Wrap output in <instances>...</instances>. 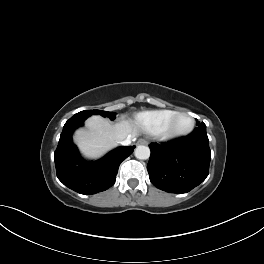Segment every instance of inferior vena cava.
I'll return each mask as SVG.
<instances>
[{"mask_svg":"<svg viewBox=\"0 0 264 264\" xmlns=\"http://www.w3.org/2000/svg\"><path fill=\"white\" fill-rule=\"evenodd\" d=\"M131 141H132V137L128 136L126 139L122 140L120 143L121 145L128 146L131 144Z\"/></svg>","mask_w":264,"mask_h":264,"instance_id":"inferior-vena-cava-1","label":"inferior vena cava"}]
</instances>
